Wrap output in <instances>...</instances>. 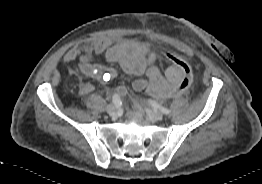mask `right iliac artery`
Returning a JSON list of instances; mask_svg holds the SVG:
<instances>
[{"mask_svg":"<svg viewBox=\"0 0 262 184\" xmlns=\"http://www.w3.org/2000/svg\"><path fill=\"white\" fill-rule=\"evenodd\" d=\"M112 102L116 107H119L122 104L121 98L118 94L113 95Z\"/></svg>","mask_w":262,"mask_h":184,"instance_id":"82829eb1","label":"right iliac artery"}]
</instances>
